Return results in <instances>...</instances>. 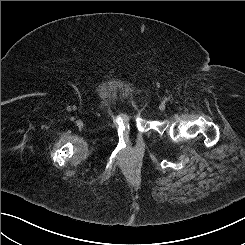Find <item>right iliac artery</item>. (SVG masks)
<instances>
[{
	"instance_id": "1",
	"label": "right iliac artery",
	"mask_w": 245,
	"mask_h": 245,
	"mask_svg": "<svg viewBox=\"0 0 245 245\" xmlns=\"http://www.w3.org/2000/svg\"><path fill=\"white\" fill-rule=\"evenodd\" d=\"M70 120L73 121L74 120V117H71Z\"/></svg>"
}]
</instances>
